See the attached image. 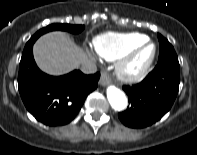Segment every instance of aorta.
<instances>
[{"label": "aorta", "mask_w": 197, "mask_h": 155, "mask_svg": "<svg viewBox=\"0 0 197 155\" xmlns=\"http://www.w3.org/2000/svg\"><path fill=\"white\" fill-rule=\"evenodd\" d=\"M107 98L111 107L116 111H122L127 107L128 101L126 95L115 86L107 88Z\"/></svg>", "instance_id": "obj_1"}]
</instances>
